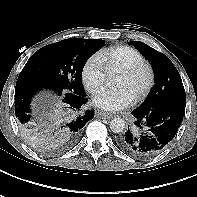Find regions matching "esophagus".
<instances>
[{"instance_id": "34e87169", "label": "esophagus", "mask_w": 197, "mask_h": 197, "mask_svg": "<svg viewBox=\"0 0 197 197\" xmlns=\"http://www.w3.org/2000/svg\"><path fill=\"white\" fill-rule=\"evenodd\" d=\"M98 116L102 117V118H112L114 116L113 113H108V112H99Z\"/></svg>"}]
</instances>
